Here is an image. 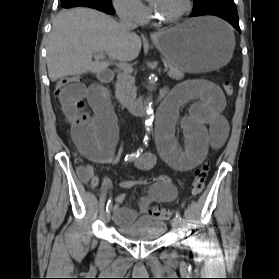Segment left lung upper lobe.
I'll return each instance as SVG.
<instances>
[{"label": "left lung upper lobe", "instance_id": "obj_1", "mask_svg": "<svg viewBox=\"0 0 279 279\" xmlns=\"http://www.w3.org/2000/svg\"><path fill=\"white\" fill-rule=\"evenodd\" d=\"M203 0H194L195 5H198Z\"/></svg>", "mask_w": 279, "mask_h": 279}]
</instances>
